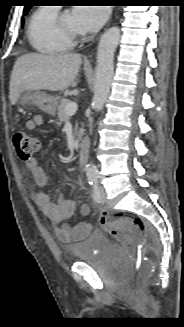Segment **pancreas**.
<instances>
[{
	"instance_id": "pancreas-1",
	"label": "pancreas",
	"mask_w": 184,
	"mask_h": 327,
	"mask_svg": "<svg viewBox=\"0 0 184 327\" xmlns=\"http://www.w3.org/2000/svg\"><path fill=\"white\" fill-rule=\"evenodd\" d=\"M71 101L69 99H61L60 101V105L58 106V118L61 122H67L70 120V115H67L65 112V107L68 103H70ZM83 133V128L80 129L79 131V138H81Z\"/></svg>"
}]
</instances>
